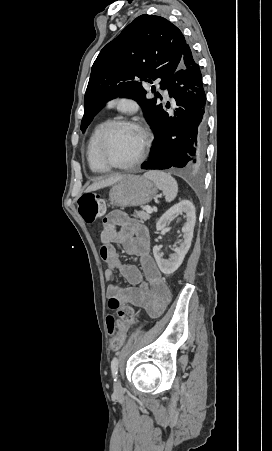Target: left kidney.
<instances>
[{
    "instance_id": "1",
    "label": "left kidney",
    "mask_w": 272,
    "mask_h": 451,
    "mask_svg": "<svg viewBox=\"0 0 272 451\" xmlns=\"http://www.w3.org/2000/svg\"><path fill=\"white\" fill-rule=\"evenodd\" d=\"M183 212L186 214V224L182 227L183 241L180 243V247H175V251L174 253H171L169 259H163V253H161L159 245H154L153 247L157 265L163 273H166V275H170V273H173V271L178 269L191 245L193 229L196 222L195 208L192 202H189V200H182L179 204H175V206H172L170 210H167V212L161 216L156 224L157 233H159V229H163V227H166L167 224H169L172 216L183 214Z\"/></svg>"
}]
</instances>
